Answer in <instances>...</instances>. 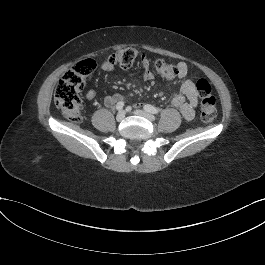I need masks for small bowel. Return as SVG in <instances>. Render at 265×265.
Returning <instances> with one entry per match:
<instances>
[{
    "mask_svg": "<svg viewBox=\"0 0 265 265\" xmlns=\"http://www.w3.org/2000/svg\"><path fill=\"white\" fill-rule=\"evenodd\" d=\"M141 67L143 79L145 81L153 80L154 74L151 70L149 61L145 57H142L141 59ZM102 68L105 71H111L114 67L111 66L108 61H105L102 65ZM177 68L178 76L181 81L178 84V92L173 94L171 102L174 106L179 108L181 115L185 120L191 121L192 119H194L197 112V107L199 104L198 93L195 84L190 79H188V65L185 62H179L177 64ZM95 97L96 91L94 89H90L87 91V100H93ZM121 100H123L121 94H107L104 97V104L106 106H112L120 102Z\"/></svg>",
    "mask_w": 265,
    "mask_h": 265,
    "instance_id": "c3829d8e",
    "label": "small bowel"
}]
</instances>
